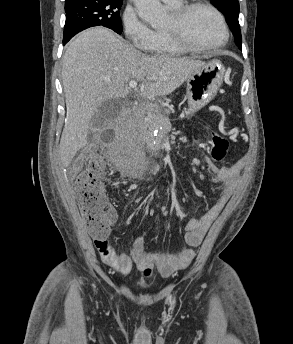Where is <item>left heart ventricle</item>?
Here are the masks:
<instances>
[{"label":"left heart ventricle","mask_w":293,"mask_h":344,"mask_svg":"<svg viewBox=\"0 0 293 344\" xmlns=\"http://www.w3.org/2000/svg\"><path fill=\"white\" fill-rule=\"evenodd\" d=\"M174 18L170 15L164 30L174 27ZM182 31L186 38L197 46H211L218 43L223 32L215 15L205 8H195L188 12L182 22Z\"/></svg>","instance_id":"b2bd125f"}]
</instances>
